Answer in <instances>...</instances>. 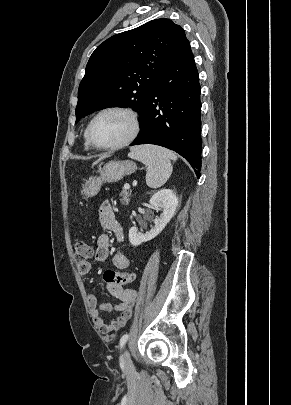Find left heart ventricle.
Listing matches in <instances>:
<instances>
[{"label": "left heart ventricle", "mask_w": 291, "mask_h": 405, "mask_svg": "<svg viewBox=\"0 0 291 405\" xmlns=\"http://www.w3.org/2000/svg\"><path fill=\"white\" fill-rule=\"evenodd\" d=\"M130 119L119 112H109L100 116L93 124L91 136L100 146L119 143L131 132Z\"/></svg>", "instance_id": "1"}]
</instances>
